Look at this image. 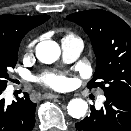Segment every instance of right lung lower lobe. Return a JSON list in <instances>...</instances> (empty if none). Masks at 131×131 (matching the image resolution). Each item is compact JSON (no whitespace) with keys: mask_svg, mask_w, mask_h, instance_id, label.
<instances>
[{"mask_svg":"<svg viewBox=\"0 0 131 131\" xmlns=\"http://www.w3.org/2000/svg\"><path fill=\"white\" fill-rule=\"evenodd\" d=\"M4 89H0V95ZM35 108L28 93L6 106L0 99V131H31L35 124Z\"/></svg>","mask_w":131,"mask_h":131,"instance_id":"obj_1","label":"right lung lower lobe"}]
</instances>
